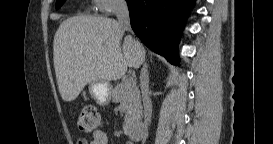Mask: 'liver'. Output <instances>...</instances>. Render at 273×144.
<instances>
[{
  "label": "liver",
  "mask_w": 273,
  "mask_h": 144,
  "mask_svg": "<svg viewBox=\"0 0 273 144\" xmlns=\"http://www.w3.org/2000/svg\"><path fill=\"white\" fill-rule=\"evenodd\" d=\"M107 17L75 16L64 20L53 41V61L62 99L75 100L87 84L116 81L128 67L141 65L135 39ZM145 54V52H144Z\"/></svg>",
  "instance_id": "6515ba94"
}]
</instances>
